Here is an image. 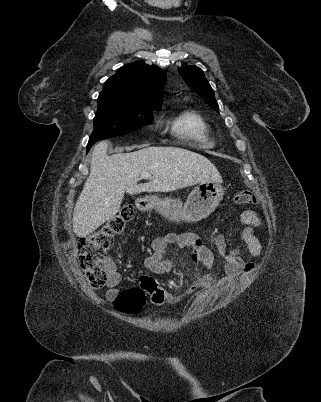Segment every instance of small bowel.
Returning a JSON list of instances; mask_svg holds the SVG:
<instances>
[{
    "instance_id": "1",
    "label": "small bowel",
    "mask_w": 321,
    "mask_h": 402,
    "mask_svg": "<svg viewBox=\"0 0 321 402\" xmlns=\"http://www.w3.org/2000/svg\"><path fill=\"white\" fill-rule=\"evenodd\" d=\"M237 223L243 225L239 232L238 240L245 245L254 257L261 254V245L255 235V229L261 224L256 212L250 209L242 211L236 218ZM207 241L212 242L218 254L224 261V272L226 280H233L241 275H250L254 271V264L245 262L234 248H229L222 235H214ZM177 245L179 248H189L193 261V285L186 292L192 294L197 291H207L218 283L217 277L212 274H204L203 270L210 269L213 264V256L205 245V240L196 233H169L155 239L153 242V253L145 258V269L153 274H162L174 269L175 261L166 258V253L170 245ZM108 279L106 298L113 300L119 293V284L122 276L115 264L107 262ZM142 288L149 294L150 303L155 306L164 304L179 303L183 296L173 295L166 291L155 281L144 277L141 279Z\"/></svg>"
}]
</instances>
